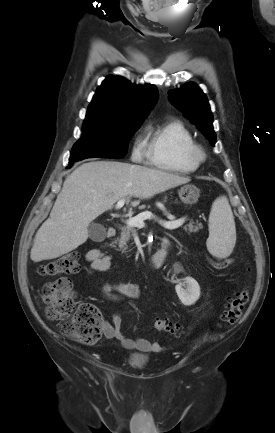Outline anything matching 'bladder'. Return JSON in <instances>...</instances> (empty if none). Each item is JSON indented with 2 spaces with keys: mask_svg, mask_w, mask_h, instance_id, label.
Here are the masks:
<instances>
[{
  "mask_svg": "<svg viewBox=\"0 0 275 433\" xmlns=\"http://www.w3.org/2000/svg\"><path fill=\"white\" fill-rule=\"evenodd\" d=\"M148 360V357L143 354L133 353L129 356V362L134 367H143Z\"/></svg>",
  "mask_w": 275,
  "mask_h": 433,
  "instance_id": "obj_1",
  "label": "bladder"
}]
</instances>
